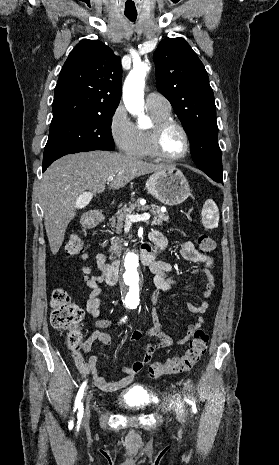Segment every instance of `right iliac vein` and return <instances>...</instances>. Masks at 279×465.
Here are the masks:
<instances>
[{
	"mask_svg": "<svg viewBox=\"0 0 279 465\" xmlns=\"http://www.w3.org/2000/svg\"><path fill=\"white\" fill-rule=\"evenodd\" d=\"M90 401V395H87L85 397V402H86V409H85V413H84V423L87 424L89 422V419H90V411H89V408H88V403Z\"/></svg>",
	"mask_w": 279,
	"mask_h": 465,
	"instance_id": "right-iliac-vein-1",
	"label": "right iliac vein"
}]
</instances>
